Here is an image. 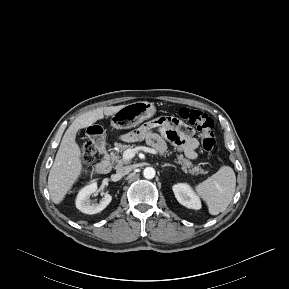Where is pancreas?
I'll list each match as a JSON object with an SVG mask.
<instances>
[{"instance_id": "cf45deb5", "label": "pancreas", "mask_w": 289, "mask_h": 289, "mask_svg": "<svg viewBox=\"0 0 289 289\" xmlns=\"http://www.w3.org/2000/svg\"><path fill=\"white\" fill-rule=\"evenodd\" d=\"M127 149H134V145H127V144H121L116 143L115 144V151H112L110 153V159L113 163H116L117 166H122L124 164L130 163V160H126L119 156V153H124ZM171 153V152H170ZM168 153V154H170ZM175 162L177 164L182 165V170L185 172H189L191 174H199V173H205L204 170H202L200 167H193L192 162L185 158L182 154L177 155Z\"/></svg>"}]
</instances>
